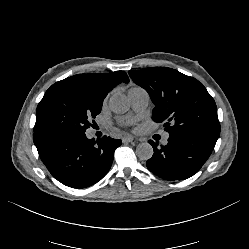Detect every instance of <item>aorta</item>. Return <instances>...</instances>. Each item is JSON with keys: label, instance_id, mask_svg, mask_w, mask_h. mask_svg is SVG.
<instances>
[{"label": "aorta", "instance_id": "1", "mask_svg": "<svg viewBox=\"0 0 249 249\" xmlns=\"http://www.w3.org/2000/svg\"><path fill=\"white\" fill-rule=\"evenodd\" d=\"M109 107L114 113L123 114L129 110L130 104L125 95L115 93L109 99ZM153 153V147L147 142L140 143L136 148V155L140 160H149Z\"/></svg>", "mask_w": 249, "mask_h": 249}]
</instances>
